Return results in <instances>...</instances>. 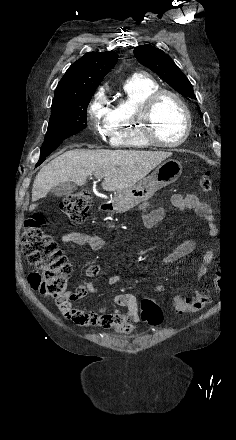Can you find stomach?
Returning <instances> with one entry per match:
<instances>
[{"instance_id":"obj_1","label":"stomach","mask_w":236,"mask_h":440,"mask_svg":"<svg viewBox=\"0 0 236 440\" xmlns=\"http://www.w3.org/2000/svg\"><path fill=\"white\" fill-rule=\"evenodd\" d=\"M181 174L182 165L179 161H163L148 177L126 190L115 192L112 198L113 211H128L148 200L157 190L174 183Z\"/></svg>"}]
</instances>
